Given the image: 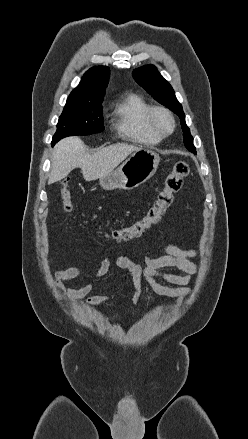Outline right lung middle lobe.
Wrapping results in <instances>:
<instances>
[{
  "label": "right lung middle lobe",
  "mask_w": 248,
  "mask_h": 439,
  "mask_svg": "<svg viewBox=\"0 0 248 439\" xmlns=\"http://www.w3.org/2000/svg\"><path fill=\"white\" fill-rule=\"evenodd\" d=\"M104 130L102 101H67L59 117L52 146L60 139L72 135H90Z\"/></svg>",
  "instance_id": "right-lung-middle-lobe-1"
}]
</instances>
